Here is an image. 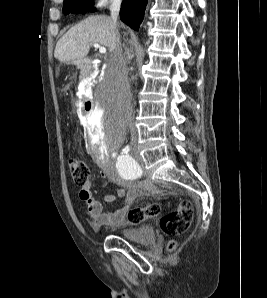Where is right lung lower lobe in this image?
Listing matches in <instances>:
<instances>
[{
    "label": "right lung lower lobe",
    "instance_id": "1",
    "mask_svg": "<svg viewBox=\"0 0 267 298\" xmlns=\"http://www.w3.org/2000/svg\"><path fill=\"white\" fill-rule=\"evenodd\" d=\"M146 5L147 0H123L120 10L121 20L134 30H138Z\"/></svg>",
    "mask_w": 267,
    "mask_h": 298
}]
</instances>
